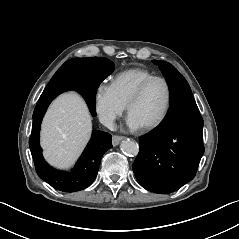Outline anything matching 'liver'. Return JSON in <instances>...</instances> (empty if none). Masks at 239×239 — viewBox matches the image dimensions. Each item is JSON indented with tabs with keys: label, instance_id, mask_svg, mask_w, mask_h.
<instances>
[{
	"label": "liver",
	"instance_id": "1",
	"mask_svg": "<svg viewBox=\"0 0 239 239\" xmlns=\"http://www.w3.org/2000/svg\"><path fill=\"white\" fill-rule=\"evenodd\" d=\"M92 117L76 93H64L49 106L41 125V147L47 162L59 169L73 166L92 131Z\"/></svg>",
	"mask_w": 239,
	"mask_h": 239
}]
</instances>
